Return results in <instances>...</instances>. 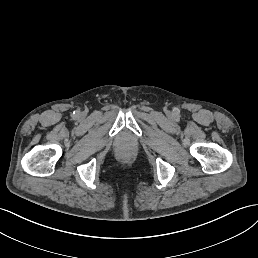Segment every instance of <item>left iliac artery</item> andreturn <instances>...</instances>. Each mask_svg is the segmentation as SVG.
Segmentation results:
<instances>
[{
	"label": "left iliac artery",
	"mask_w": 258,
	"mask_h": 258,
	"mask_svg": "<svg viewBox=\"0 0 258 258\" xmlns=\"http://www.w3.org/2000/svg\"><path fill=\"white\" fill-rule=\"evenodd\" d=\"M173 117L175 118L176 121L180 120V110L178 108L173 109Z\"/></svg>",
	"instance_id": "obj_1"
}]
</instances>
